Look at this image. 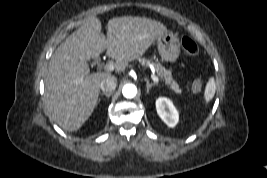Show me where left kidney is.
I'll return each mask as SVG.
<instances>
[{
  "label": "left kidney",
  "instance_id": "obj_1",
  "mask_svg": "<svg viewBox=\"0 0 267 178\" xmlns=\"http://www.w3.org/2000/svg\"><path fill=\"white\" fill-rule=\"evenodd\" d=\"M156 110L159 117L169 127H175L179 120L178 111L172 101L166 97H160L156 100Z\"/></svg>",
  "mask_w": 267,
  "mask_h": 178
}]
</instances>
